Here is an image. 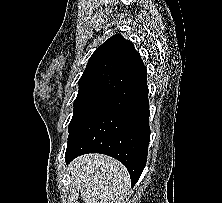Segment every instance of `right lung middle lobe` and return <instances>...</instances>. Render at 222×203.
Masks as SVG:
<instances>
[{"mask_svg":"<svg viewBox=\"0 0 222 203\" xmlns=\"http://www.w3.org/2000/svg\"><path fill=\"white\" fill-rule=\"evenodd\" d=\"M112 94L111 92L97 89L79 91L74 101V114L69 124V132L96 108L108 100Z\"/></svg>","mask_w":222,"mask_h":203,"instance_id":"1","label":"right lung middle lobe"}]
</instances>
